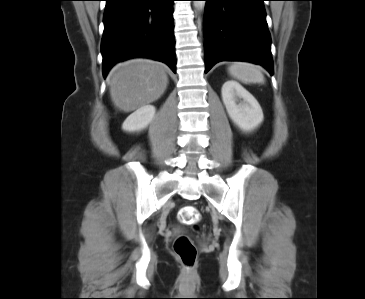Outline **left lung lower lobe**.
Here are the masks:
<instances>
[{
  "mask_svg": "<svg viewBox=\"0 0 365 299\" xmlns=\"http://www.w3.org/2000/svg\"><path fill=\"white\" fill-rule=\"evenodd\" d=\"M205 73L221 61H248L273 74L264 0H204Z\"/></svg>",
  "mask_w": 365,
  "mask_h": 299,
  "instance_id": "0a47b994",
  "label": "left lung lower lobe"
}]
</instances>
